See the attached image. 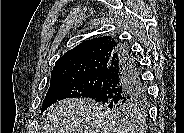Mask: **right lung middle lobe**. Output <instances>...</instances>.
Listing matches in <instances>:
<instances>
[{
    "label": "right lung middle lobe",
    "mask_w": 184,
    "mask_h": 133,
    "mask_svg": "<svg viewBox=\"0 0 184 133\" xmlns=\"http://www.w3.org/2000/svg\"><path fill=\"white\" fill-rule=\"evenodd\" d=\"M103 73L79 77H68L50 82V87L42 104L41 113L49 106L65 98L93 99L102 87ZM146 98L134 104L114 105L100 104L103 111L116 116L136 118L143 115L146 109Z\"/></svg>",
    "instance_id": "obj_1"
}]
</instances>
